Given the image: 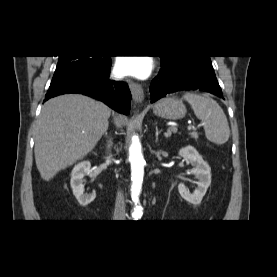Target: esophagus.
Returning <instances> with one entry per match:
<instances>
[{
  "label": "esophagus",
  "mask_w": 277,
  "mask_h": 277,
  "mask_svg": "<svg viewBox=\"0 0 277 277\" xmlns=\"http://www.w3.org/2000/svg\"><path fill=\"white\" fill-rule=\"evenodd\" d=\"M128 85L132 94V98L136 103H141L144 100V92L140 84L128 80Z\"/></svg>",
  "instance_id": "esophagus-1"
}]
</instances>
